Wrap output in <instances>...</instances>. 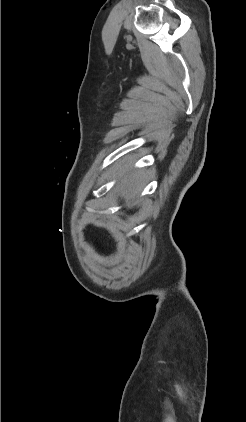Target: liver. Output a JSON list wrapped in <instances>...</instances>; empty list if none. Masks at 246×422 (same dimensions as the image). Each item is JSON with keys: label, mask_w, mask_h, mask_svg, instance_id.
I'll return each mask as SVG.
<instances>
[{"label": "liver", "mask_w": 246, "mask_h": 422, "mask_svg": "<svg viewBox=\"0 0 246 422\" xmlns=\"http://www.w3.org/2000/svg\"><path fill=\"white\" fill-rule=\"evenodd\" d=\"M131 164L130 157L123 159L122 167L118 174L126 173ZM148 175L149 173L146 170L127 173L118 184L117 189L125 195L126 200H130L139 193Z\"/></svg>", "instance_id": "1"}]
</instances>
